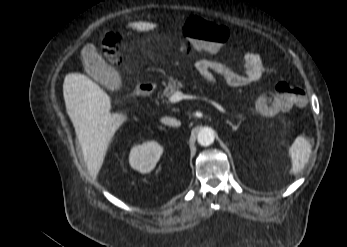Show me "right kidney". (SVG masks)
Listing matches in <instances>:
<instances>
[{"label":"right kidney","mask_w":347,"mask_h":247,"mask_svg":"<svg viewBox=\"0 0 347 247\" xmlns=\"http://www.w3.org/2000/svg\"><path fill=\"white\" fill-rule=\"evenodd\" d=\"M163 153V148L155 141L134 146L129 155L131 167L140 173L151 172Z\"/></svg>","instance_id":"obj_1"}]
</instances>
